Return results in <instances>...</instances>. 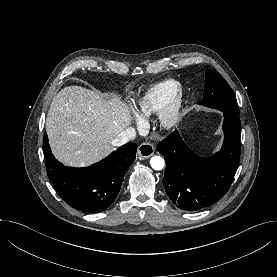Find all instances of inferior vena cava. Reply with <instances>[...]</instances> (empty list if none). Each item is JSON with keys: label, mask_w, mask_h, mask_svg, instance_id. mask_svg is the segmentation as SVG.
<instances>
[{"label": "inferior vena cava", "mask_w": 277, "mask_h": 277, "mask_svg": "<svg viewBox=\"0 0 277 277\" xmlns=\"http://www.w3.org/2000/svg\"><path fill=\"white\" fill-rule=\"evenodd\" d=\"M136 137V131L134 128H126L123 130L118 137L114 140L116 146H121Z\"/></svg>", "instance_id": "obj_1"}]
</instances>
